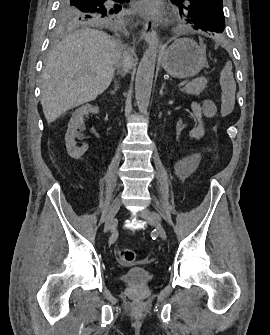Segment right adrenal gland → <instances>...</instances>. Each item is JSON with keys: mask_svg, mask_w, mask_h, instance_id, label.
<instances>
[{"mask_svg": "<svg viewBox=\"0 0 270 335\" xmlns=\"http://www.w3.org/2000/svg\"><path fill=\"white\" fill-rule=\"evenodd\" d=\"M117 88H118V84L117 82H115V88L114 90H112V92H110V94H115V92H117Z\"/></svg>", "mask_w": 270, "mask_h": 335, "instance_id": "obj_1", "label": "right adrenal gland"}]
</instances>
